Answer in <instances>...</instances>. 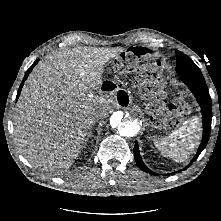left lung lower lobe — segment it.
Here are the masks:
<instances>
[{
    "label": "left lung lower lobe",
    "mask_w": 221,
    "mask_h": 221,
    "mask_svg": "<svg viewBox=\"0 0 221 221\" xmlns=\"http://www.w3.org/2000/svg\"><path fill=\"white\" fill-rule=\"evenodd\" d=\"M180 79L192 91L198 104L201 107V112H202L203 138H202L201 144L199 145V148L195 157L191 161L192 163L196 160L199 154L206 147L207 142L209 140L210 130H211V120H212L211 98L209 95V91L207 89L205 79L202 76V74H181ZM134 156H135V161L137 165L141 168V170L147 173L156 175V173L149 170L143 163L140 153H139V147H138L137 142H135V146H134ZM189 166L190 164L187 167ZM167 175H170V174H167Z\"/></svg>",
    "instance_id": "0a47b994"
}]
</instances>
